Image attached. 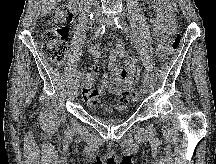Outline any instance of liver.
Segmentation results:
<instances>
[{
    "mask_svg": "<svg viewBox=\"0 0 216 164\" xmlns=\"http://www.w3.org/2000/svg\"><path fill=\"white\" fill-rule=\"evenodd\" d=\"M61 0H41L42 2V15L48 14L54 9Z\"/></svg>",
    "mask_w": 216,
    "mask_h": 164,
    "instance_id": "1",
    "label": "liver"
}]
</instances>
